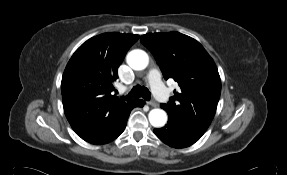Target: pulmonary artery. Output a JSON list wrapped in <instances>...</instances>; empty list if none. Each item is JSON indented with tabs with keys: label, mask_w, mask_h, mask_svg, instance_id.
I'll list each match as a JSON object with an SVG mask.
<instances>
[{
	"label": "pulmonary artery",
	"mask_w": 287,
	"mask_h": 175,
	"mask_svg": "<svg viewBox=\"0 0 287 175\" xmlns=\"http://www.w3.org/2000/svg\"><path fill=\"white\" fill-rule=\"evenodd\" d=\"M147 80L152 88L154 96L162 103H168L169 93L160 80V73L156 69L149 71Z\"/></svg>",
	"instance_id": "1"
}]
</instances>
